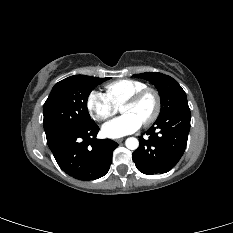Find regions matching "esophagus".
Wrapping results in <instances>:
<instances>
[{"mask_svg":"<svg viewBox=\"0 0 233 233\" xmlns=\"http://www.w3.org/2000/svg\"><path fill=\"white\" fill-rule=\"evenodd\" d=\"M123 140H124L123 138H119V139L116 140V142L121 143V142H123Z\"/></svg>","mask_w":233,"mask_h":233,"instance_id":"obj_1","label":"esophagus"}]
</instances>
